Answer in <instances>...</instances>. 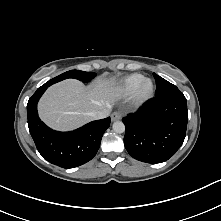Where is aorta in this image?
Returning a JSON list of instances; mask_svg holds the SVG:
<instances>
[{
  "label": "aorta",
  "instance_id": "obj_1",
  "mask_svg": "<svg viewBox=\"0 0 221 221\" xmlns=\"http://www.w3.org/2000/svg\"><path fill=\"white\" fill-rule=\"evenodd\" d=\"M113 131L116 133H123L125 132V125L122 121H116L113 123Z\"/></svg>",
  "mask_w": 221,
  "mask_h": 221
}]
</instances>
